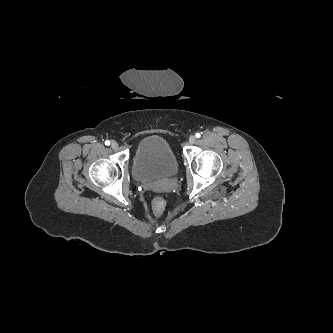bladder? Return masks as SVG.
<instances>
[{
  "instance_id": "obj_1",
  "label": "bladder",
  "mask_w": 333,
  "mask_h": 333,
  "mask_svg": "<svg viewBox=\"0 0 333 333\" xmlns=\"http://www.w3.org/2000/svg\"><path fill=\"white\" fill-rule=\"evenodd\" d=\"M178 172V161L171 146L162 136L144 137L136 146L132 175L139 182L170 178Z\"/></svg>"
}]
</instances>
